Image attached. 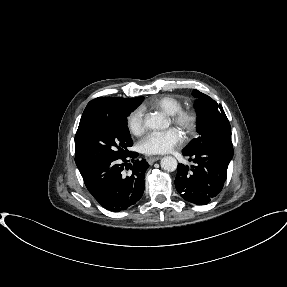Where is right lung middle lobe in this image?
<instances>
[{"label": "right lung middle lobe", "instance_id": "1", "mask_svg": "<svg viewBox=\"0 0 287 287\" xmlns=\"http://www.w3.org/2000/svg\"><path fill=\"white\" fill-rule=\"evenodd\" d=\"M125 104L104 114L83 134L78 168H88L94 163L111 158H124L131 152L133 142L127 127L128 115L143 101Z\"/></svg>", "mask_w": 287, "mask_h": 287}]
</instances>
